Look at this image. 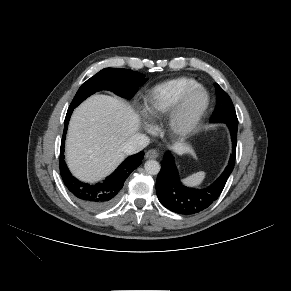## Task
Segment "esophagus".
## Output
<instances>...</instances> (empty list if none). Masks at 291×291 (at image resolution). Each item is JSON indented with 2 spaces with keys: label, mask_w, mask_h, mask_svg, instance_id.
Here are the masks:
<instances>
[{
  "label": "esophagus",
  "mask_w": 291,
  "mask_h": 291,
  "mask_svg": "<svg viewBox=\"0 0 291 291\" xmlns=\"http://www.w3.org/2000/svg\"><path fill=\"white\" fill-rule=\"evenodd\" d=\"M157 157H158V152L155 149H150L145 154L146 159H155Z\"/></svg>",
  "instance_id": "obj_1"
}]
</instances>
